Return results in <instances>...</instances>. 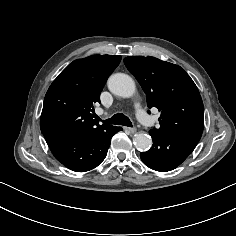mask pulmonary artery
I'll return each mask as SVG.
<instances>
[{"instance_id":"obj_1","label":"pulmonary artery","mask_w":236,"mask_h":236,"mask_svg":"<svg viewBox=\"0 0 236 236\" xmlns=\"http://www.w3.org/2000/svg\"><path fill=\"white\" fill-rule=\"evenodd\" d=\"M97 112H98V114L102 113L100 110H98ZM136 117L141 123H146L148 121V118H149L147 113L141 108H138L136 110Z\"/></svg>"}]
</instances>
